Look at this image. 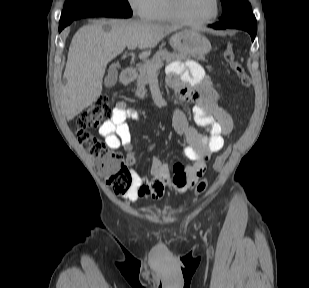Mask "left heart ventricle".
Instances as JSON below:
<instances>
[{
    "instance_id": "obj_1",
    "label": "left heart ventricle",
    "mask_w": 309,
    "mask_h": 288,
    "mask_svg": "<svg viewBox=\"0 0 309 288\" xmlns=\"http://www.w3.org/2000/svg\"><path fill=\"white\" fill-rule=\"evenodd\" d=\"M214 0H180L184 17L192 21L207 19L214 12Z\"/></svg>"
}]
</instances>
